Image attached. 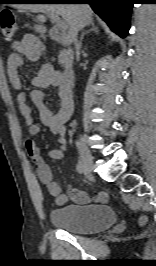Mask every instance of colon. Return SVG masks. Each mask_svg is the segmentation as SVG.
<instances>
[{
	"instance_id": "1",
	"label": "colon",
	"mask_w": 156,
	"mask_h": 266,
	"mask_svg": "<svg viewBox=\"0 0 156 266\" xmlns=\"http://www.w3.org/2000/svg\"><path fill=\"white\" fill-rule=\"evenodd\" d=\"M18 31L15 16L9 10L0 14V32L5 41H12Z\"/></svg>"
}]
</instances>
